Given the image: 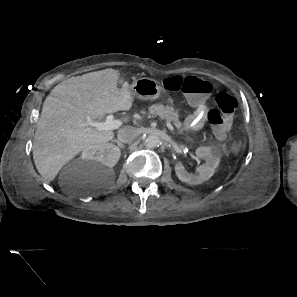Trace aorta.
<instances>
[{
    "mask_svg": "<svg viewBox=\"0 0 297 297\" xmlns=\"http://www.w3.org/2000/svg\"><path fill=\"white\" fill-rule=\"evenodd\" d=\"M144 142L148 148H156L160 145V139L156 135H149Z\"/></svg>",
    "mask_w": 297,
    "mask_h": 297,
    "instance_id": "obj_1",
    "label": "aorta"
}]
</instances>
